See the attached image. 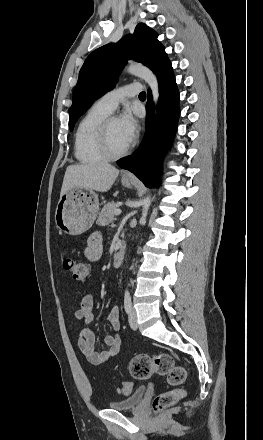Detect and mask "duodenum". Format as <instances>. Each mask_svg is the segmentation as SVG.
I'll return each mask as SVG.
<instances>
[{"mask_svg": "<svg viewBox=\"0 0 263 440\" xmlns=\"http://www.w3.org/2000/svg\"><path fill=\"white\" fill-rule=\"evenodd\" d=\"M124 250L125 247L124 245H120L119 248L116 250V252L114 253L113 256V266L115 268H119L123 262L124 259Z\"/></svg>", "mask_w": 263, "mask_h": 440, "instance_id": "1", "label": "duodenum"}]
</instances>
